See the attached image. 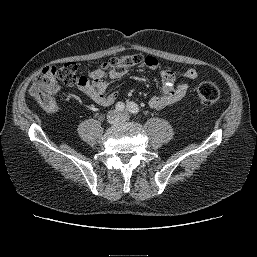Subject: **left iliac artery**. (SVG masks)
Returning a JSON list of instances; mask_svg holds the SVG:
<instances>
[{"mask_svg":"<svg viewBox=\"0 0 257 257\" xmlns=\"http://www.w3.org/2000/svg\"><path fill=\"white\" fill-rule=\"evenodd\" d=\"M127 110L133 114H138L139 113V107L136 103L130 102L127 104Z\"/></svg>","mask_w":257,"mask_h":257,"instance_id":"obj_1","label":"left iliac artery"}]
</instances>
